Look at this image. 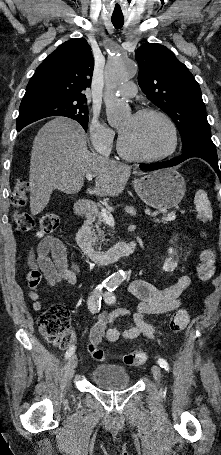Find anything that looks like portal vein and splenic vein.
Wrapping results in <instances>:
<instances>
[{
  "label": "portal vein and splenic vein",
  "instance_id": "18ae733b",
  "mask_svg": "<svg viewBox=\"0 0 221 455\" xmlns=\"http://www.w3.org/2000/svg\"><path fill=\"white\" fill-rule=\"evenodd\" d=\"M94 175L92 174H86V179L88 181H91L93 179ZM101 216L104 220V222H106V224L110 225V226H114L115 225V220L111 214V212H109L106 208L104 207H101ZM163 221H174L176 219V213H171L169 215H167L166 217H162L161 218Z\"/></svg>",
  "mask_w": 221,
  "mask_h": 455
}]
</instances>
